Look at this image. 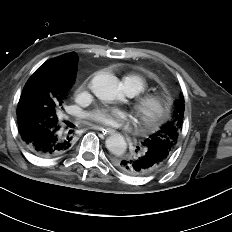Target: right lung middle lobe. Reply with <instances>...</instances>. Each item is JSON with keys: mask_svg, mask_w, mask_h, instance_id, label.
I'll list each match as a JSON object with an SVG mask.
<instances>
[{"mask_svg": "<svg viewBox=\"0 0 232 232\" xmlns=\"http://www.w3.org/2000/svg\"><path fill=\"white\" fill-rule=\"evenodd\" d=\"M70 88L65 80L45 73L29 79L22 91L18 107L20 133L41 125L47 129L59 125L58 112Z\"/></svg>", "mask_w": 232, "mask_h": 232, "instance_id": "1", "label": "right lung middle lobe"}]
</instances>
